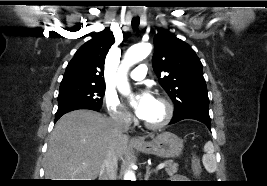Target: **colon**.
<instances>
[{"label": "colon", "instance_id": "1", "mask_svg": "<svg viewBox=\"0 0 267 186\" xmlns=\"http://www.w3.org/2000/svg\"><path fill=\"white\" fill-rule=\"evenodd\" d=\"M192 170L194 171V173H200L201 172V164H200L198 158L193 159Z\"/></svg>", "mask_w": 267, "mask_h": 186}]
</instances>
